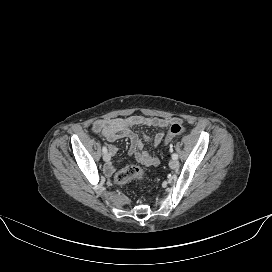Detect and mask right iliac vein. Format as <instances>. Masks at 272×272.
Instances as JSON below:
<instances>
[{
  "instance_id": "obj_1",
  "label": "right iliac vein",
  "mask_w": 272,
  "mask_h": 272,
  "mask_svg": "<svg viewBox=\"0 0 272 272\" xmlns=\"http://www.w3.org/2000/svg\"><path fill=\"white\" fill-rule=\"evenodd\" d=\"M103 160H104L105 162H109V161H110V155H109L108 153H105V154L103 155Z\"/></svg>"
}]
</instances>
